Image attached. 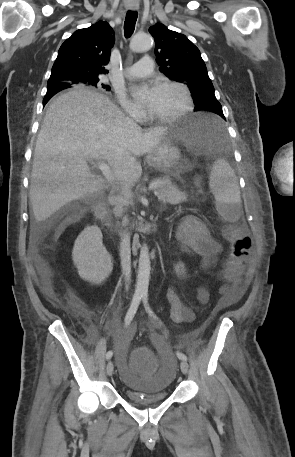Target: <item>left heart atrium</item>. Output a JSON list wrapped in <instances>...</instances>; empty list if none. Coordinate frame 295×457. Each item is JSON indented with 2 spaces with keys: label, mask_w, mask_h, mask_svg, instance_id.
Returning <instances> with one entry per match:
<instances>
[{
  "label": "left heart atrium",
  "mask_w": 295,
  "mask_h": 457,
  "mask_svg": "<svg viewBox=\"0 0 295 457\" xmlns=\"http://www.w3.org/2000/svg\"><path fill=\"white\" fill-rule=\"evenodd\" d=\"M158 91V86L152 85L147 89H136L134 94L140 98L146 106L151 107L157 98Z\"/></svg>",
  "instance_id": "obj_1"
}]
</instances>
